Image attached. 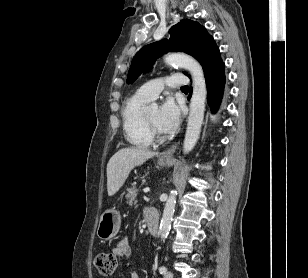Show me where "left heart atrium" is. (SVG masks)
<instances>
[{
	"mask_svg": "<svg viewBox=\"0 0 308 278\" xmlns=\"http://www.w3.org/2000/svg\"><path fill=\"white\" fill-rule=\"evenodd\" d=\"M181 121V111L179 106L171 98H168L159 110L158 128L165 132H173Z\"/></svg>",
	"mask_w": 308,
	"mask_h": 278,
	"instance_id": "obj_1",
	"label": "left heart atrium"
}]
</instances>
